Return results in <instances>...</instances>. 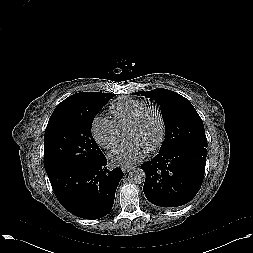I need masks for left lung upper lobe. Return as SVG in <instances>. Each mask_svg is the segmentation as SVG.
<instances>
[{"label": "left lung upper lobe", "mask_w": 253, "mask_h": 253, "mask_svg": "<svg viewBox=\"0 0 253 253\" xmlns=\"http://www.w3.org/2000/svg\"><path fill=\"white\" fill-rule=\"evenodd\" d=\"M135 94L151 98L160 106L165 124V139L160 151L180 144H197L207 147L203 122L188 99L163 88Z\"/></svg>", "instance_id": "left-lung-upper-lobe-1"}]
</instances>
